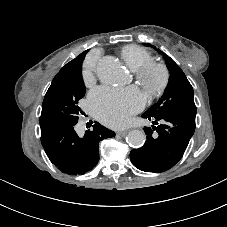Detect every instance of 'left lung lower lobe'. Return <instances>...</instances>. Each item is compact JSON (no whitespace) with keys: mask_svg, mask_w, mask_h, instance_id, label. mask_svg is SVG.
<instances>
[{"mask_svg":"<svg viewBox=\"0 0 227 227\" xmlns=\"http://www.w3.org/2000/svg\"><path fill=\"white\" fill-rule=\"evenodd\" d=\"M143 118L152 120L157 127L144 128L146 142L143 147L132 150L130 159L133 165L145 172L159 173L172 168L183 156L195 131V117L169 113L150 115Z\"/></svg>","mask_w":227,"mask_h":227,"instance_id":"left-lung-lower-lobe-1","label":"left lung lower lobe"}]
</instances>
